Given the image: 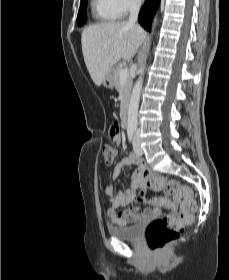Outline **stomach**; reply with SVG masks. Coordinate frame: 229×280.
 I'll list each match as a JSON object with an SVG mask.
<instances>
[{"label":"stomach","instance_id":"stomach-1","mask_svg":"<svg viewBox=\"0 0 229 280\" xmlns=\"http://www.w3.org/2000/svg\"><path fill=\"white\" fill-rule=\"evenodd\" d=\"M103 86L108 89H112L115 85V72L114 69H111L104 77Z\"/></svg>","mask_w":229,"mask_h":280}]
</instances>
